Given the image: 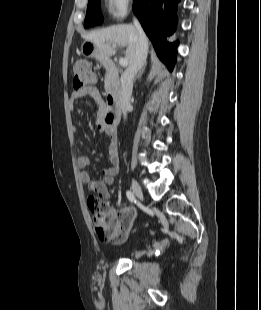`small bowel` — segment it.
Segmentation results:
<instances>
[{"label":"small bowel","instance_id":"1","mask_svg":"<svg viewBox=\"0 0 261 310\" xmlns=\"http://www.w3.org/2000/svg\"><path fill=\"white\" fill-rule=\"evenodd\" d=\"M90 97L99 108L103 107V99L101 96L100 91L96 87H90L80 92H74L72 95V99L70 101V106L73 108L74 101L76 99ZM97 127L100 132L106 134L109 137V147H108V160L110 166L103 169V180H92L90 177L89 172L86 168L90 165V157L86 155H82L78 158L77 163L80 168V178L83 183H85L88 189L96 193L101 198L108 200L110 199V193L108 190V185L112 184L114 178L119 172V159H118V152H117V143H116V135L115 132L106 126L100 117L96 120ZM110 216H116L118 212L115 209L109 210Z\"/></svg>","mask_w":261,"mask_h":310}]
</instances>
